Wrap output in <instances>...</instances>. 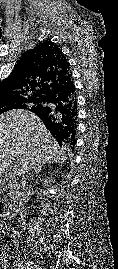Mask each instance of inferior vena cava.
<instances>
[{
	"mask_svg": "<svg viewBox=\"0 0 118 269\" xmlns=\"http://www.w3.org/2000/svg\"><path fill=\"white\" fill-rule=\"evenodd\" d=\"M21 176H22V182H21V184H22V188H23V190H24V189H25V186H26V184H27V182H26V178H25L24 174H22ZM25 202H26V201H25L24 194L21 193V197H20V199H19V206H20L22 209H24ZM21 220L23 221V216H22V214H21Z\"/></svg>",
	"mask_w": 118,
	"mask_h": 269,
	"instance_id": "inferior-vena-cava-1",
	"label": "inferior vena cava"
}]
</instances>
